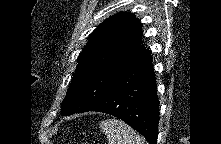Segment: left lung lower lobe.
Wrapping results in <instances>:
<instances>
[{
	"mask_svg": "<svg viewBox=\"0 0 221 144\" xmlns=\"http://www.w3.org/2000/svg\"><path fill=\"white\" fill-rule=\"evenodd\" d=\"M150 54V50L145 49L86 111L116 116L143 135L149 144H156L159 100Z\"/></svg>",
	"mask_w": 221,
	"mask_h": 144,
	"instance_id": "obj_1",
	"label": "left lung lower lobe"
}]
</instances>
